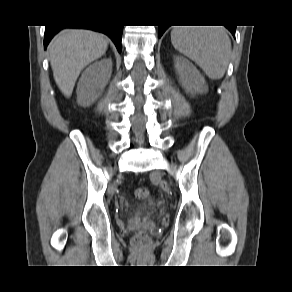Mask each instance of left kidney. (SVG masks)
<instances>
[{"mask_svg": "<svg viewBox=\"0 0 292 292\" xmlns=\"http://www.w3.org/2000/svg\"><path fill=\"white\" fill-rule=\"evenodd\" d=\"M174 66L179 76V81L187 93L195 95L207 92L208 88L203 76L187 59L176 56L174 58Z\"/></svg>", "mask_w": 292, "mask_h": 292, "instance_id": "left-kidney-1", "label": "left kidney"}]
</instances>
